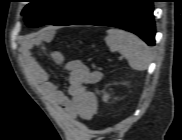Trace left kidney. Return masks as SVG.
<instances>
[{
  "instance_id": "obj_1",
  "label": "left kidney",
  "mask_w": 182,
  "mask_h": 140,
  "mask_svg": "<svg viewBox=\"0 0 182 140\" xmlns=\"http://www.w3.org/2000/svg\"><path fill=\"white\" fill-rule=\"evenodd\" d=\"M108 99H109V95H108V94H104V95H103V101H104V102H107Z\"/></svg>"
}]
</instances>
